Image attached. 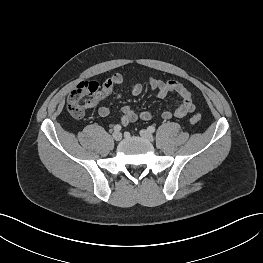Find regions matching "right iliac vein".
Returning <instances> with one entry per match:
<instances>
[{"label": "right iliac vein", "mask_w": 263, "mask_h": 263, "mask_svg": "<svg viewBox=\"0 0 263 263\" xmlns=\"http://www.w3.org/2000/svg\"><path fill=\"white\" fill-rule=\"evenodd\" d=\"M112 136L116 141H120L122 139V134L120 132H114Z\"/></svg>", "instance_id": "obj_1"}]
</instances>
